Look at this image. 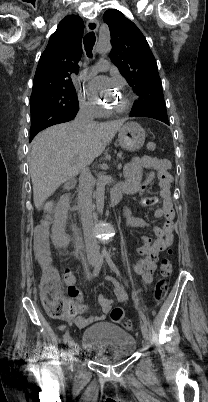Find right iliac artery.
Wrapping results in <instances>:
<instances>
[{
  "instance_id": "right-iliac-artery-1",
  "label": "right iliac artery",
  "mask_w": 208,
  "mask_h": 402,
  "mask_svg": "<svg viewBox=\"0 0 208 402\" xmlns=\"http://www.w3.org/2000/svg\"><path fill=\"white\" fill-rule=\"evenodd\" d=\"M102 264H103V256L98 260V262H97V264H96V266H95V268L93 270L92 277L98 276V274H99V272L101 270ZM68 339H69V331H66L65 334L63 335L64 344H67Z\"/></svg>"
}]
</instances>
